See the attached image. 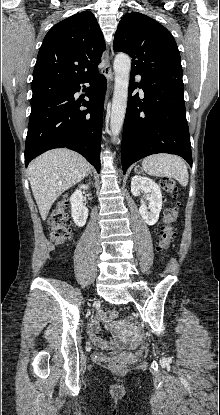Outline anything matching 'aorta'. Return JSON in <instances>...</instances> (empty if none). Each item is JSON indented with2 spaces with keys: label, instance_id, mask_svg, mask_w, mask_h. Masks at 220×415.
<instances>
[{
  "label": "aorta",
  "instance_id": "aorta-1",
  "mask_svg": "<svg viewBox=\"0 0 220 415\" xmlns=\"http://www.w3.org/2000/svg\"><path fill=\"white\" fill-rule=\"evenodd\" d=\"M114 94L111 108L110 128L114 136L119 135L127 107L131 59L124 53H119L114 59Z\"/></svg>",
  "mask_w": 220,
  "mask_h": 415
}]
</instances>
